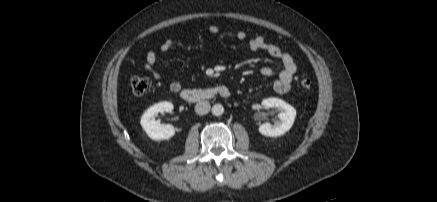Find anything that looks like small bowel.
Returning a JSON list of instances; mask_svg holds the SVG:
<instances>
[{
    "instance_id": "obj_1",
    "label": "small bowel",
    "mask_w": 437,
    "mask_h": 202,
    "mask_svg": "<svg viewBox=\"0 0 437 202\" xmlns=\"http://www.w3.org/2000/svg\"><path fill=\"white\" fill-rule=\"evenodd\" d=\"M208 31L211 34H218L219 28L216 25H210ZM236 38L239 41L246 39V33L239 31L236 33ZM173 45V39L171 37L166 38L160 45L159 50L162 53L168 52ZM248 49L252 52L264 51L271 57L280 62L282 69L279 72L278 78L274 81L273 88L279 94L288 92L291 88V82L293 76L297 71V65L292 56L277 45L268 42L263 36H255L249 39ZM158 56L154 50H149L145 56L144 68L148 71L154 79L160 80L162 78L161 73L157 69ZM260 74L264 77H270L274 74V70L271 67H263L260 70ZM170 90L177 93L181 90L182 84L180 81H173L170 84Z\"/></svg>"
}]
</instances>
